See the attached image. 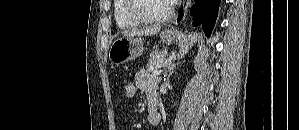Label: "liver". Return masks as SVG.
I'll list each match as a JSON object with an SVG mask.
<instances>
[{"mask_svg":"<svg viewBox=\"0 0 299 130\" xmlns=\"http://www.w3.org/2000/svg\"><path fill=\"white\" fill-rule=\"evenodd\" d=\"M160 26H155L152 28H146L144 30H130L124 33L126 37H134V36H152L157 34L160 31Z\"/></svg>","mask_w":299,"mask_h":130,"instance_id":"liver-1","label":"liver"}]
</instances>
